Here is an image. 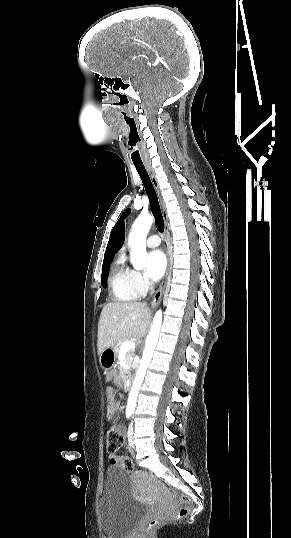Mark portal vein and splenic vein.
<instances>
[{
  "label": "portal vein and splenic vein",
  "instance_id": "portal-vein-and-splenic-vein-1",
  "mask_svg": "<svg viewBox=\"0 0 291 538\" xmlns=\"http://www.w3.org/2000/svg\"><path fill=\"white\" fill-rule=\"evenodd\" d=\"M135 348V343L132 341H126L121 345V351H129Z\"/></svg>",
  "mask_w": 291,
  "mask_h": 538
}]
</instances>
